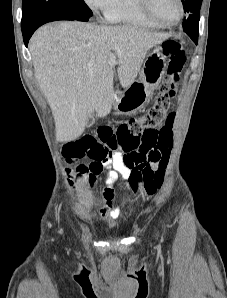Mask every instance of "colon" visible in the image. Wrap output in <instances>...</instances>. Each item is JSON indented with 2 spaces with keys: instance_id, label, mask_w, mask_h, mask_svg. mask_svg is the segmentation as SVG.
Segmentation results:
<instances>
[{
  "instance_id": "1",
  "label": "colon",
  "mask_w": 227,
  "mask_h": 298,
  "mask_svg": "<svg viewBox=\"0 0 227 298\" xmlns=\"http://www.w3.org/2000/svg\"><path fill=\"white\" fill-rule=\"evenodd\" d=\"M161 52L168 59V78L162 83L147 112L117 126H99L96 129V139L106 142L110 150L140 151L149 159L157 160L164 168L168 162V154L173 147L171 131L173 115L167 116V113L171 99L175 96L179 86L186 56L182 43L177 40L166 41L161 47ZM163 122H165L164 125H162ZM163 176L162 171L150 173V178H154L153 192L161 187Z\"/></svg>"
}]
</instances>
